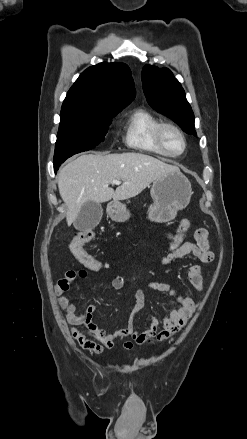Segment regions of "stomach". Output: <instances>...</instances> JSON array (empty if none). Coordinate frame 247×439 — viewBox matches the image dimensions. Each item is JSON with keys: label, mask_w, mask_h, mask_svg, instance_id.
<instances>
[{"label": "stomach", "mask_w": 247, "mask_h": 439, "mask_svg": "<svg viewBox=\"0 0 247 439\" xmlns=\"http://www.w3.org/2000/svg\"><path fill=\"white\" fill-rule=\"evenodd\" d=\"M150 193L153 204L149 207L148 218L154 222H167L189 204L193 192L189 180L178 171L156 179ZM107 212L116 222H125L130 217L126 206L119 202L110 204Z\"/></svg>", "instance_id": "0dacf381"}]
</instances>
